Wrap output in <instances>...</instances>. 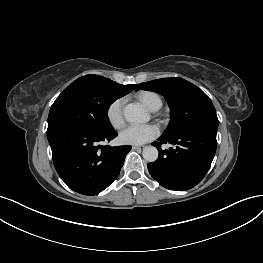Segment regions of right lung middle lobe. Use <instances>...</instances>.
I'll return each instance as SVG.
<instances>
[{
	"instance_id": "1",
	"label": "right lung middle lobe",
	"mask_w": 263,
	"mask_h": 263,
	"mask_svg": "<svg viewBox=\"0 0 263 263\" xmlns=\"http://www.w3.org/2000/svg\"><path fill=\"white\" fill-rule=\"evenodd\" d=\"M120 97L96 81L75 80L51 106L47 134L62 128H82L98 133L112 131L107 112Z\"/></svg>"
}]
</instances>
